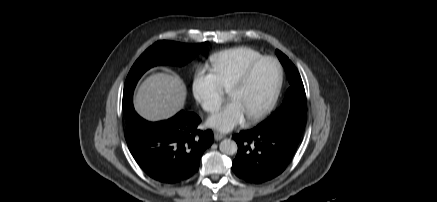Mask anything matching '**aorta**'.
<instances>
[{
  "mask_svg": "<svg viewBox=\"0 0 437 202\" xmlns=\"http://www.w3.org/2000/svg\"><path fill=\"white\" fill-rule=\"evenodd\" d=\"M219 149L223 154L233 155L237 152V144L234 140L224 139L219 145Z\"/></svg>",
  "mask_w": 437,
  "mask_h": 202,
  "instance_id": "aorta-1",
  "label": "aorta"
}]
</instances>
